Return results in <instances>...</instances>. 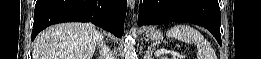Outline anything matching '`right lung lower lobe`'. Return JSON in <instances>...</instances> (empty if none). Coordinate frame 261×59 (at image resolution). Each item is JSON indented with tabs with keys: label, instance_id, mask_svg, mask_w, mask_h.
Masks as SVG:
<instances>
[{
	"label": "right lung lower lobe",
	"instance_id": "1",
	"mask_svg": "<svg viewBox=\"0 0 261 59\" xmlns=\"http://www.w3.org/2000/svg\"><path fill=\"white\" fill-rule=\"evenodd\" d=\"M126 9L127 0H37L31 39L62 22H91L121 37Z\"/></svg>",
	"mask_w": 261,
	"mask_h": 59
}]
</instances>
